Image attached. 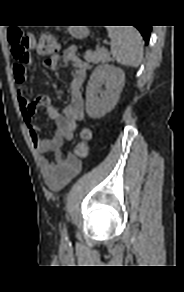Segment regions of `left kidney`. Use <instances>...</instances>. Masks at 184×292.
Here are the masks:
<instances>
[{
	"label": "left kidney",
	"mask_w": 184,
	"mask_h": 292,
	"mask_svg": "<svg viewBox=\"0 0 184 292\" xmlns=\"http://www.w3.org/2000/svg\"><path fill=\"white\" fill-rule=\"evenodd\" d=\"M125 83L122 69L110 64L97 66L86 88V112L93 119L101 118L116 105ZM105 86V90L102 86ZM100 95V96H99Z\"/></svg>",
	"instance_id": "1"
}]
</instances>
